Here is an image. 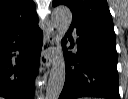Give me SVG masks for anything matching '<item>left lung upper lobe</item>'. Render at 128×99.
I'll list each match as a JSON object with an SVG mask.
<instances>
[{"instance_id": "1", "label": "left lung upper lobe", "mask_w": 128, "mask_h": 99, "mask_svg": "<svg viewBox=\"0 0 128 99\" xmlns=\"http://www.w3.org/2000/svg\"><path fill=\"white\" fill-rule=\"evenodd\" d=\"M67 5L73 14L72 24L105 28L114 32L106 0H54L53 6Z\"/></svg>"}]
</instances>
